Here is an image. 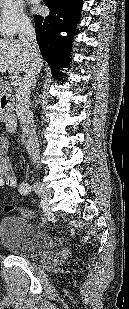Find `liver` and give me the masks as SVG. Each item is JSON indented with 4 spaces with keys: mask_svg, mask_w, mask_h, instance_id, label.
Returning <instances> with one entry per match:
<instances>
[{
    "mask_svg": "<svg viewBox=\"0 0 129 309\" xmlns=\"http://www.w3.org/2000/svg\"><path fill=\"white\" fill-rule=\"evenodd\" d=\"M41 63L42 58H41ZM30 67L26 47L17 39H0V73L8 71L18 76Z\"/></svg>",
    "mask_w": 129,
    "mask_h": 309,
    "instance_id": "liver-1",
    "label": "liver"
}]
</instances>
